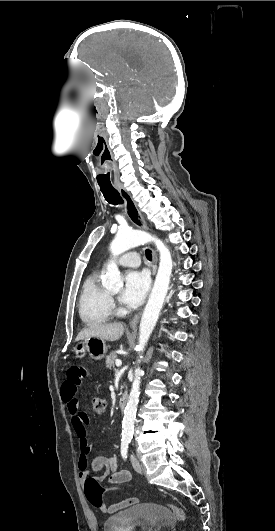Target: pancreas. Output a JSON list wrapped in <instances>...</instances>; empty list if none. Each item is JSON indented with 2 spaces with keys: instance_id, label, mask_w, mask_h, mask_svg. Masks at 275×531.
<instances>
[{
  "instance_id": "1",
  "label": "pancreas",
  "mask_w": 275,
  "mask_h": 531,
  "mask_svg": "<svg viewBox=\"0 0 275 531\" xmlns=\"http://www.w3.org/2000/svg\"><path fill=\"white\" fill-rule=\"evenodd\" d=\"M117 359V355L116 353H114V351H112V353H110V355H107L106 357V367L107 369H114V363Z\"/></svg>"
}]
</instances>
